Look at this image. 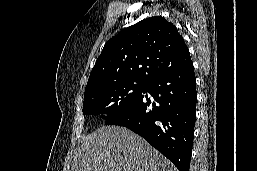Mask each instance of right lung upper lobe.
I'll use <instances>...</instances> for the list:
<instances>
[{"label": "right lung upper lobe", "instance_id": "obj_1", "mask_svg": "<svg viewBox=\"0 0 257 171\" xmlns=\"http://www.w3.org/2000/svg\"><path fill=\"white\" fill-rule=\"evenodd\" d=\"M191 61L177 28L162 16L144 19L108 40L85 92L126 82L149 84Z\"/></svg>", "mask_w": 257, "mask_h": 171}]
</instances>
